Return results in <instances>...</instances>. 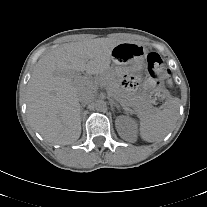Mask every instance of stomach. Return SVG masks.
I'll use <instances>...</instances> for the list:
<instances>
[{
	"label": "stomach",
	"mask_w": 207,
	"mask_h": 207,
	"mask_svg": "<svg viewBox=\"0 0 207 207\" xmlns=\"http://www.w3.org/2000/svg\"><path fill=\"white\" fill-rule=\"evenodd\" d=\"M147 50L143 45L137 43H121L114 47L111 53V59L116 65H127L133 73L140 74L145 70V58ZM120 101L131 103L135 101L136 96L130 92L120 89L117 95Z\"/></svg>",
	"instance_id": "stomach-1"
}]
</instances>
